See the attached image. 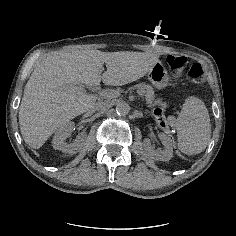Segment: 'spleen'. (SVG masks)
Instances as JSON below:
<instances>
[{"mask_svg":"<svg viewBox=\"0 0 236 236\" xmlns=\"http://www.w3.org/2000/svg\"><path fill=\"white\" fill-rule=\"evenodd\" d=\"M177 138L179 150L187 155L199 154L207 147L211 137L208 110L202 100L189 97L178 116Z\"/></svg>","mask_w":236,"mask_h":236,"instance_id":"obj_1","label":"spleen"}]
</instances>
